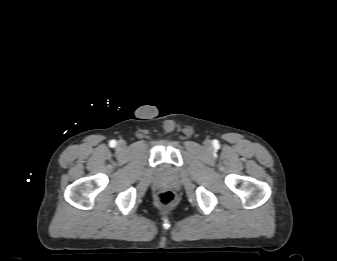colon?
Wrapping results in <instances>:
<instances>
[{
    "label": "colon",
    "instance_id": "1",
    "mask_svg": "<svg viewBox=\"0 0 337 261\" xmlns=\"http://www.w3.org/2000/svg\"><path fill=\"white\" fill-rule=\"evenodd\" d=\"M176 195L171 190H161L157 195L158 203L163 207H169L174 204Z\"/></svg>",
    "mask_w": 337,
    "mask_h": 261
}]
</instances>
